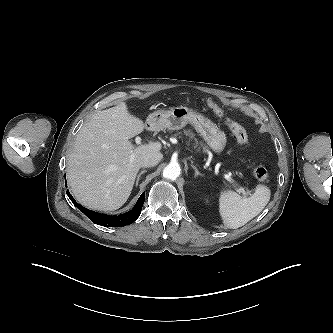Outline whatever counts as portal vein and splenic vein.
<instances>
[{
	"mask_svg": "<svg viewBox=\"0 0 333 333\" xmlns=\"http://www.w3.org/2000/svg\"><path fill=\"white\" fill-rule=\"evenodd\" d=\"M141 141H142V139H141L140 137H136V138H135V143H136L137 145L141 144ZM224 178H225V180H227L229 183H235L234 180L231 178V176H230L229 174H224ZM237 192L242 193L244 196H247V194H248V193H247L242 187H239V188L237 189Z\"/></svg>",
	"mask_w": 333,
	"mask_h": 333,
	"instance_id": "portal-vein-and-splenic-vein-1",
	"label": "portal vein and splenic vein"
}]
</instances>
